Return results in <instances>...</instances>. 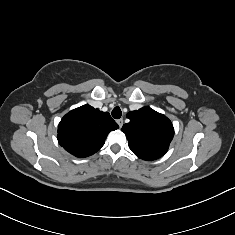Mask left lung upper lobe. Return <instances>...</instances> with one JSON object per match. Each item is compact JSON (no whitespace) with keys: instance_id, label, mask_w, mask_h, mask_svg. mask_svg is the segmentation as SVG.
<instances>
[{"instance_id":"left-lung-upper-lobe-1","label":"left lung upper lobe","mask_w":235,"mask_h":235,"mask_svg":"<svg viewBox=\"0 0 235 235\" xmlns=\"http://www.w3.org/2000/svg\"><path fill=\"white\" fill-rule=\"evenodd\" d=\"M130 121L123 125L129 148L144 160L163 156L174 136L171 121L150 107H143L127 114Z\"/></svg>"}]
</instances>
